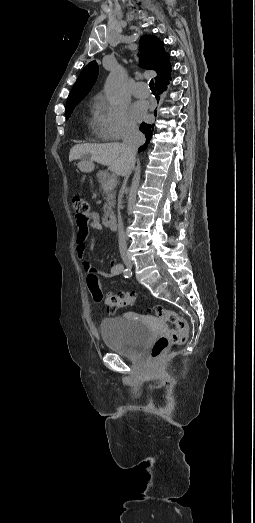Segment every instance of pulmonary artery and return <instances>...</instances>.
I'll list each match as a JSON object with an SVG mask.
<instances>
[{
	"mask_svg": "<svg viewBox=\"0 0 255 523\" xmlns=\"http://www.w3.org/2000/svg\"><path fill=\"white\" fill-rule=\"evenodd\" d=\"M132 94L136 97L144 98L149 96L150 89L145 82H137L132 88Z\"/></svg>",
	"mask_w": 255,
	"mask_h": 523,
	"instance_id": "obj_1",
	"label": "pulmonary artery"
}]
</instances>
